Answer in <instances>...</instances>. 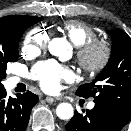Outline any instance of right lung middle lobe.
I'll use <instances>...</instances> for the list:
<instances>
[{
  "mask_svg": "<svg viewBox=\"0 0 131 131\" xmlns=\"http://www.w3.org/2000/svg\"><path fill=\"white\" fill-rule=\"evenodd\" d=\"M43 18L34 16H19L9 28V37L0 42V88L4 87L1 81L6 77L7 63L18 59V43L24 31Z\"/></svg>",
  "mask_w": 131,
  "mask_h": 131,
  "instance_id": "dd1d6c3e",
  "label": "right lung middle lobe"
}]
</instances>
